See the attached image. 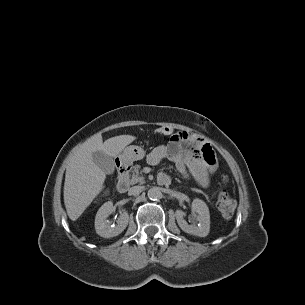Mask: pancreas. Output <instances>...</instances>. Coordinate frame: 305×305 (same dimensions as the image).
<instances>
[{
	"instance_id": "1",
	"label": "pancreas",
	"mask_w": 305,
	"mask_h": 305,
	"mask_svg": "<svg viewBox=\"0 0 305 305\" xmlns=\"http://www.w3.org/2000/svg\"><path fill=\"white\" fill-rule=\"evenodd\" d=\"M128 181L131 185H134L136 183H140V184L145 183L144 177L140 172L139 165L134 166V169L132 170V174L130 175V179H128Z\"/></svg>"
}]
</instances>
